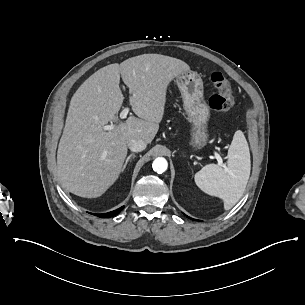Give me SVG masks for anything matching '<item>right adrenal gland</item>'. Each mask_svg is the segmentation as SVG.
Segmentation results:
<instances>
[{
    "instance_id": "2a0ac1e0",
    "label": "right adrenal gland",
    "mask_w": 305,
    "mask_h": 305,
    "mask_svg": "<svg viewBox=\"0 0 305 305\" xmlns=\"http://www.w3.org/2000/svg\"><path fill=\"white\" fill-rule=\"evenodd\" d=\"M134 158L135 157V154H130L129 156H128V158H127V160H126V163H125V167L127 166V164H128V162L131 160V158Z\"/></svg>"
}]
</instances>
